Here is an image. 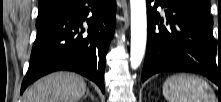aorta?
Instances as JSON below:
<instances>
[{
    "mask_svg": "<svg viewBox=\"0 0 221 102\" xmlns=\"http://www.w3.org/2000/svg\"><path fill=\"white\" fill-rule=\"evenodd\" d=\"M131 6V50L130 64L137 69L145 53L147 40L146 1L130 0Z\"/></svg>",
    "mask_w": 221,
    "mask_h": 102,
    "instance_id": "1",
    "label": "aorta"
}]
</instances>
